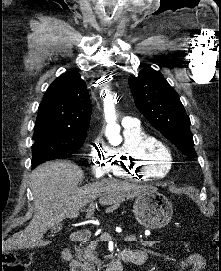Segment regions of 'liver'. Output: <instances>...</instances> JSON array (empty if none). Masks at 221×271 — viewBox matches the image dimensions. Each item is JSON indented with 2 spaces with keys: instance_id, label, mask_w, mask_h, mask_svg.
Segmentation results:
<instances>
[{
  "instance_id": "6515ba94",
  "label": "liver",
  "mask_w": 221,
  "mask_h": 271,
  "mask_svg": "<svg viewBox=\"0 0 221 271\" xmlns=\"http://www.w3.org/2000/svg\"><path fill=\"white\" fill-rule=\"evenodd\" d=\"M83 175L81 167L72 161H46L35 167L31 173L35 213L25 229L5 241V249L48 245L51 241L43 239L45 231L62 219L78 217L79 209L91 197H99L101 205L118 207L128 193H140L135 185L118 179H98L78 187Z\"/></svg>"
}]
</instances>
